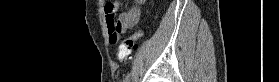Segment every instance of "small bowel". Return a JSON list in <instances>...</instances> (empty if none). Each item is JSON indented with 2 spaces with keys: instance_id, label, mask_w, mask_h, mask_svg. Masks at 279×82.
Segmentation results:
<instances>
[{
  "instance_id": "1",
  "label": "small bowel",
  "mask_w": 279,
  "mask_h": 82,
  "mask_svg": "<svg viewBox=\"0 0 279 82\" xmlns=\"http://www.w3.org/2000/svg\"><path fill=\"white\" fill-rule=\"evenodd\" d=\"M142 4L143 0H135V5L120 13L117 21H115L114 17L119 8V2H110L105 5L106 22L111 44H117L121 34L138 24L141 14L140 6Z\"/></svg>"
}]
</instances>
